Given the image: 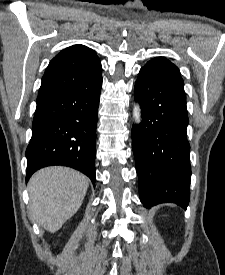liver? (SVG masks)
<instances>
[{
    "label": "liver",
    "instance_id": "obj_1",
    "mask_svg": "<svg viewBox=\"0 0 225 275\" xmlns=\"http://www.w3.org/2000/svg\"><path fill=\"white\" fill-rule=\"evenodd\" d=\"M88 186V178L71 168L37 171L28 184L34 220L50 233L58 231L80 208Z\"/></svg>",
    "mask_w": 225,
    "mask_h": 275
}]
</instances>
